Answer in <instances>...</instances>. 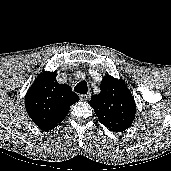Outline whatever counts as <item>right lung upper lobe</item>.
<instances>
[{
	"label": "right lung upper lobe",
	"instance_id": "1",
	"mask_svg": "<svg viewBox=\"0 0 171 171\" xmlns=\"http://www.w3.org/2000/svg\"><path fill=\"white\" fill-rule=\"evenodd\" d=\"M79 101L69 85L59 84L55 72L41 73L25 96V108L31 120L43 131L57 127L70 106Z\"/></svg>",
	"mask_w": 171,
	"mask_h": 171
}]
</instances>
